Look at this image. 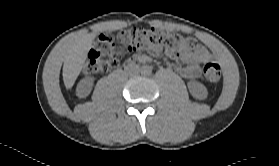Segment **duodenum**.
I'll use <instances>...</instances> for the list:
<instances>
[{
	"mask_svg": "<svg viewBox=\"0 0 279 166\" xmlns=\"http://www.w3.org/2000/svg\"><path fill=\"white\" fill-rule=\"evenodd\" d=\"M134 64V61L133 60H129L128 62H127V65L128 66H131V65H133Z\"/></svg>",
	"mask_w": 279,
	"mask_h": 166,
	"instance_id": "1",
	"label": "duodenum"
}]
</instances>
